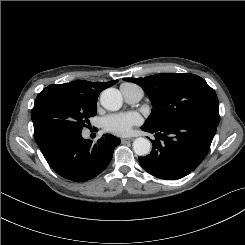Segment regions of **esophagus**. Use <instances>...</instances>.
<instances>
[{"label": "esophagus", "instance_id": "esophagus-1", "mask_svg": "<svg viewBox=\"0 0 245 245\" xmlns=\"http://www.w3.org/2000/svg\"><path fill=\"white\" fill-rule=\"evenodd\" d=\"M132 140H133V138H130V137L129 138H122L121 142L122 143H128V142H131Z\"/></svg>", "mask_w": 245, "mask_h": 245}]
</instances>
